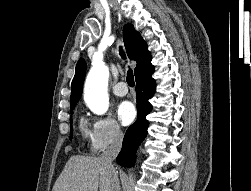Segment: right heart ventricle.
Listing matches in <instances>:
<instances>
[{
    "label": "right heart ventricle",
    "mask_w": 251,
    "mask_h": 191,
    "mask_svg": "<svg viewBox=\"0 0 251 191\" xmlns=\"http://www.w3.org/2000/svg\"><path fill=\"white\" fill-rule=\"evenodd\" d=\"M80 134L84 139H87L90 136V132L87 127L86 121L82 118L79 123Z\"/></svg>",
    "instance_id": "obj_1"
}]
</instances>
